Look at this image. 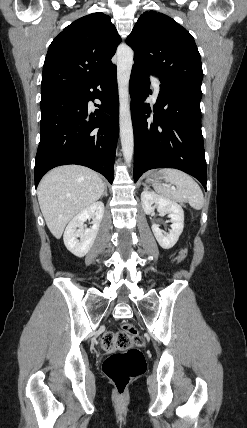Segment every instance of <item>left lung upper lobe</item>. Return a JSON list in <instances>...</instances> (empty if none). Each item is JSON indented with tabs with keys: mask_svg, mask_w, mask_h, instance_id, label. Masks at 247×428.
Returning <instances> with one entry per match:
<instances>
[{
	"mask_svg": "<svg viewBox=\"0 0 247 428\" xmlns=\"http://www.w3.org/2000/svg\"><path fill=\"white\" fill-rule=\"evenodd\" d=\"M134 65L159 77L161 83L202 95L201 57L192 35L169 16L143 13L126 39Z\"/></svg>",
	"mask_w": 247,
	"mask_h": 428,
	"instance_id": "1",
	"label": "left lung upper lobe"
}]
</instances>
